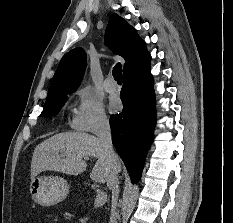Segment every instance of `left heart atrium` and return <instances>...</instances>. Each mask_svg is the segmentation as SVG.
I'll use <instances>...</instances> for the list:
<instances>
[{"mask_svg": "<svg viewBox=\"0 0 233 223\" xmlns=\"http://www.w3.org/2000/svg\"><path fill=\"white\" fill-rule=\"evenodd\" d=\"M109 108H110L111 113H117V112H119V110H120V103H119L118 99L112 98L110 100Z\"/></svg>", "mask_w": 233, "mask_h": 223, "instance_id": "left-heart-atrium-1", "label": "left heart atrium"}]
</instances>
